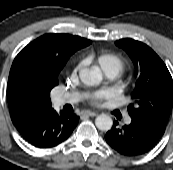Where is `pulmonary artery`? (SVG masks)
<instances>
[{
    "label": "pulmonary artery",
    "instance_id": "pulmonary-artery-1",
    "mask_svg": "<svg viewBox=\"0 0 173 170\" xmlns=\"http://www.w3.org/2000/svg\"><path fill=\"white\" fill-rule=\"evenodd\" d=\"M103 72L105 73L106 77L108 78H112L116 75L115 70L110 67V66H102L101 67ZM87 93L86 92H67V93H63L61 95H59L58 97V101L61 104H65V103H76L81 101L82 99L87 97ZM126 122H129V117L126 118Z\"/></svg>",
    "mask_w": 173,
    "mask_h": 170
}]
</instances>
